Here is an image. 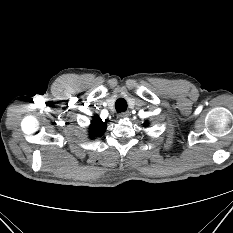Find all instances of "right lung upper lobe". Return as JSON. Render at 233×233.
<instances>
[{
    "mask_svg": "<svg viewBox=\"0 0 233 233\" xmlns=\"http://www.w3.org/2000/svg\"><path fill=\"white\" fill-rule=\"evenodd\" d=\"M91 138L101 137L106 129V122H103L98 116L94 117L90 127Z\"/></svg>",
    "mask_w": 233,
    "mask_h": 233,
    "instance_id": "1",
    "label": "right lung upper lobe"
}]
</instances>
